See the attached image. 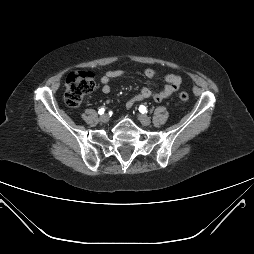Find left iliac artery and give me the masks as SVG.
Returning <instances> with one entry per match:
<instances>
[{"mask_svg": "<svg viewBox=\"0 0 254 254\" xmlns=\"http://www.w3.org/2000/svg\"><path fill=\"white\" fill-rule=\"evenodd\" d=\"M139 111H140L142 114H145V113H147V108H146L144 105H141V106L139 107Z\"/></svg>", "mask_w": 254, "mask_h": 254, "instance_id": "1", "label": "left iliac artery"}]
</instances>
